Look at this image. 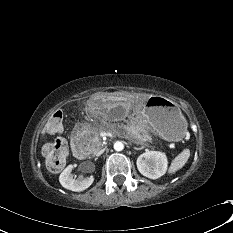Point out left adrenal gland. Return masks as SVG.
Returning <instances> with one entry per match:
<instances>
[{
	"mask_svg": "<svg viewBox=\"0 0 233 233\" xmlns=\"http://www.w3.org/2000/svg\"><path fill=\"white\" fill-rule=\"evenodd\" d=\"M135 150H142L143 147H140V148H137V147H134Z\"/></svg>",
	"mask_w": 233,
	"mask_h": 233,
	"instance_id": "1",
	"label": "left adrenal gland"
}]
</instances>
